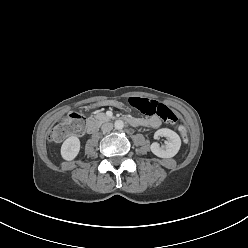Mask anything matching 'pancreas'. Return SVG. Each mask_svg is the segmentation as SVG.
<instances>
[{
    "label": "pancreas",
    "instance_id": "cf45deb5",
    "mask_svg": "<svg viewBox=\"0 0 248 248\" xmlns=\"http://www.w3.org/2000/svg\"><path fill=\"white\" fill-rule=\"evenodd\" d=\"M95 119L98 123H103V122L110 120V118L106 114L101 113V112L97 113V115L95 116Z\"/></svg>",
    "mask_w": 248,
    "mask_h": 248
}]
</instances>
